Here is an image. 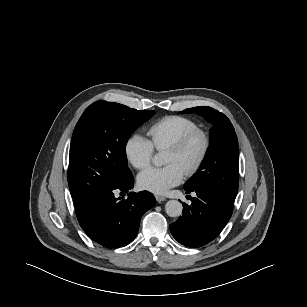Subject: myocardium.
<instances>
[{
	"label": "myocardium",
	"instance_id": "f54148a6",
	"mask_svg": "<svg viewBox=\"0 0 307 307\" xmlns=\"http://www.w3.org/2000/svg\"><path fill=\"white\" fill-rule=\"evenodd\" d=\"M195 139L201 140V149L195 160L184 171V174L188 177L193 176L199 170L209 153L211 145L209 134L201 128H195L180 137L166 149V151L181 153Z\"/></svg>",
	"mask_w": 307,
	"mask_h": 307
}]
</instances>
